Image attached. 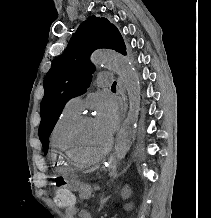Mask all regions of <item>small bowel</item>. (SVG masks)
<instances>
[{
  "label": "small bowel",
  "mask_w": 211,
  "mask_h": 218,
  "mask_svg": "<svg viewBox=\"0 0 211 218\" xmlns=\"http://www.w3.org/2000/svg\"><path fill=\"white\" fill-rule=\"evenodd\" d=\"M67 212L68 213H74L75 212V208L74 207L68 208Z\"/></svg>",
  "instance_id": "c3829d8e"
}]
</instances>
